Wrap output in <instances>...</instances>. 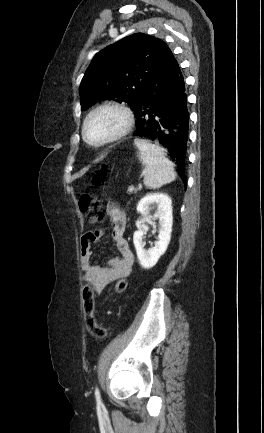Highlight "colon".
I'll use <instances>...</instances> for the list:
<instances>
[{
	"mask_svg": "<svg viewBox=\"0 0 264 433\" xmlns=\"http://www.w3.org/2000/svg\"><path fill=\"white\" fill-rule=\"evenodd\" d=\"M106 175L107 167L105 165L99 166L92 175V185L101 186L105 182ZM79 202L81 210L85 213L90 223H99L105 219V213L101 208L102 201L100 197L90 193H83L80 196ZM127 285L128 283L126 279H120L115 285V291L117 293H122L126 290ZM82 301L84 319L88 331L96 338H105L108 334V329L106 327L97 325L95 321L94 288L89 283H87L83 288Z\"/></svg>",
	"mask_w": 264,
	"mask_h": 433,
	"instance_id": "1",
	"label": "colon"
}]
</instances>
